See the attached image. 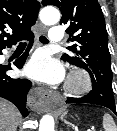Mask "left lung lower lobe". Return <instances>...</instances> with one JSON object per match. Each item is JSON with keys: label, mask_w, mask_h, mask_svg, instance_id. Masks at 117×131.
Returning a JSON list of instances; mask_svg holds the SVG:
<instances>
[{"label": "left lung lower lobe", "mask_w": 117, "mask_h": 131, "mask_svg": "<svg viewBox=\"0 0 117 131\" xmlns=\"http://www.w3.org/2000/svg\"><path fill=\"white\" fill-rule=\"evenodd\" d=\"M93 85L92 91L82 98L68 97L66 103H90L105 106L111 109L116 115L115 102L113 97V91L109 88L99 87Z\"/></svg>", "instance_id": "left-lung-lower-lobe-1"}]
</instances>
